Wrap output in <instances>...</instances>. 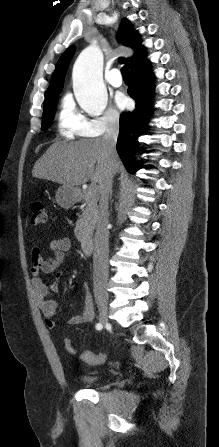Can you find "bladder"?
I'll list each match as a JSON object with an SVG mask.
<instances>
[{
    "mask_svg": "<svg viewBox=\"0 0 219 447\" xmlns=\"http://www.w3.org/2000/svg\"><path fill=\"white\" fill-rule=\"evenodd\" d=\"M103 376L99 374H81L79 380L85 385H92L97 383Z\"/></svg>",
    "mask_w": 219,
    "mask_h": 447,
    "instance_id": "31cf9c89",
    "label": "bladder"
}]
</instances>
